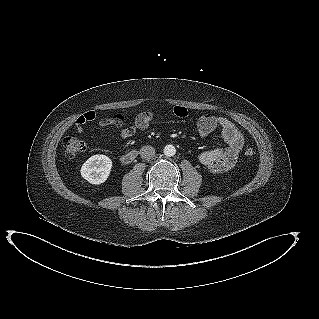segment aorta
Returning a JSON list of instances; mask_svg holds the SVG:
<instances>
[{
    "instance_id": "obj_1",
    "label": "aorta",
    "mask_w": 319,
    "mask_h": 319,
    "mask_svg": "<svg viewBox=\"0 0 319 319\" xmlns=\"http://www.w3.org/2000/svg\"><path fill=\"white\" fill-rule=\"evenodd\" d=\"M176 153V149L173 145H166L165 148H164V154L166 156H174Z\"/></svg>"
}]
</instances>
